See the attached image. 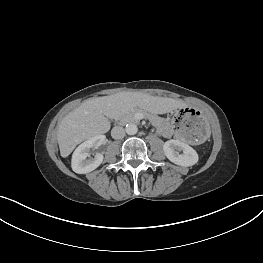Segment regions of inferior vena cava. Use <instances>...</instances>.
I'll use <instances>...</instances> for the list:
<instances>
[{"instance_id": "1", "label": "inferior vena cava", "mask_w": 263, "mask_h": 263, "mask_svg": "<svg viewBox=\"0 0 263 263\" xmlns=\"http://www.w3.org/2000/svg\"><path fill=\"white\" fill-rule=\"evenodd\" d=\"M111 136L114 139H122L125 136V130L121 126H116L111 130Z\"/></svg>"}]
</instances>
